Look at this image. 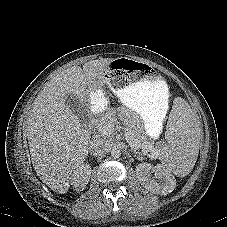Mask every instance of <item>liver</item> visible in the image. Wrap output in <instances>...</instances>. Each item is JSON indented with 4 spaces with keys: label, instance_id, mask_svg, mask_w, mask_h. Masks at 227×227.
Segmentation results:
<instances>
[{
    "label": "liver",
    "instance_id": "liver-1",
    "mask_svg": "<svg viewBox=\"0 0 227 227\" xmlns=\"http://www.w3.org/2000/svg\"><path fill=\"white\" fill-rule=\"evenodd\" d=\"M112 59L93 60L58 73L38 94L28 118L27 138L37 176L51 190L66 193L74 171L88 155L91 136L66 104L72 94L90 108L88 88L105 83L104 72Z\"/></svg>",
    "mask_w": 227,
    "mask_h": 227
}]
</instances>
